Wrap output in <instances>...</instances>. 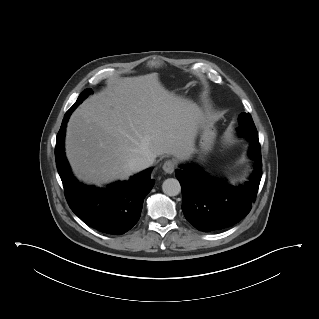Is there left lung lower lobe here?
<instances>
[{
	"label": "left lung lower lobe",
	"instance_id": "0a47b994",
	"mask_svg": "<svg viewBox=\"0 0 319 319\" xmlns=\"http://www.w3.org/2000/svg\"><path fill=\"white\" fill-rule=\"evenodd\" d=\"M239 135L250 140V157L255 171L245 184L234 187L215 181L197 167L183 166L175 174L182 187V210L186 219L198 230L210 232L233 226L251 210L261 176L262 159L257 130L239 126Z\"/></svg>",
	"mask_w": 319,
	"mask_h": 319
}]
</instances>
